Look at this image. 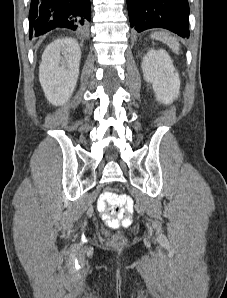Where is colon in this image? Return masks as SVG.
<instances>
[{"label": "colon", "instance_id": "colon-1", "mask_svg": "<svg viewBox=\"0 0 227 298\" xmlns=\"http://www.w3.org/2000/svg\"><path fill=\"white\" fill-rule=\"evenodd\" d=\"M120 206L124 207L126 215L132 210L133 203L128 196L111 191L102 194L98 202V207L106 215L108 224L113 227L117 225V219L113 215L118 213ZM107 244L111 247H120L125 244V238L121 233L116 232L107 239Z\"/></svg>", "mask_w": 227, "mask_h": 298}]
</instances>
